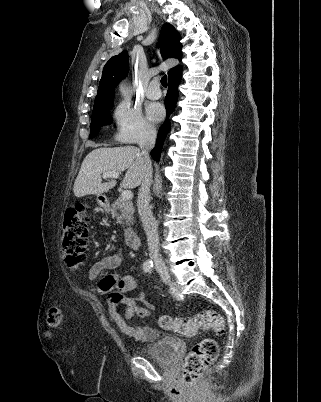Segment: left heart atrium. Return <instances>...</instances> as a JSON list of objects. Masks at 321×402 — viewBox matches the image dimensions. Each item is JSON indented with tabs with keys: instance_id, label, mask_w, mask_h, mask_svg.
Returning a JSON list of instances; mask_svg holds the SVG:
<instances>
[{
	"instance_id": "1",
	"label": "left heart atrium",
	"mask_w": 321,
	"mask_h": 402,
	"mask_svg": "<svg viewBox=\"0 0 321 402\" xmlns=\"http://www.w3.org/2000/svg\"><path fill=\"white\" fill-rule=\"evenodd\" d=\"M147 115L151 121H159L164 116V109L160 104H151L147 108Z\"/></svg>"
}]
</instances>
